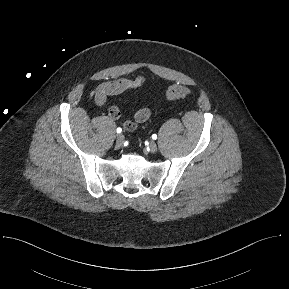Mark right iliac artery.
<instances>
[{
	"label": "right iliac artery",
	"instance_id": "82829eb1",
	"mask_svg": "<svg viewBox=\"0 0 289 289\" xmlns=\"http://www.w3.org/2000/svg\"><path fill=\"white\" fill-rule=\"evenodd\" d=\"M117 133H121L122 132V129L119 127V128H117Z\"/></svg>",
	"mask_w": 289,
	"mask_h": 289
}]
</instances>
